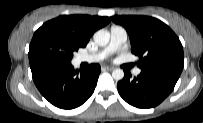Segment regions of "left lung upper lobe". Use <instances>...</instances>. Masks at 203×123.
<instances>
[{"instance_id": "1", "label": "left lung upper lobe", "mask_w": 203, "mask_h": 123, "mask_svg": "<svg viewBox=\"0 0 203 123\" xmlns=\"http://www.w3.org/2000/svg\"><path fill=\"white\" fill-rule=\"evenodd\" d=\"M128 32L132 53L139 56L142 70L162 69L182 72L183 47L176 34L162 21L148 16L122 15L110 18Z\"/></svg>"}]
</instances>
